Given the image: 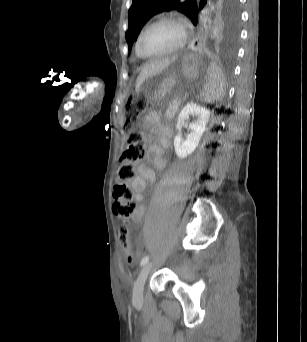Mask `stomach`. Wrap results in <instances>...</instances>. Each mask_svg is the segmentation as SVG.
<instances>
[{"mask_svg":"<svg viewBox=\"0 0 307 342\" xmlns=\"http://www.w3.org/2000/svg\"><path fill=\"white\" fill-rule=\"evenodd\" d=\"M191 56L178 57L160 73L145 80L140 90L150 101L178 100L181 98L185 80L192 76Z\"/></svg>","mask_w":307,"mask_h":342,"instance_id":"0dacf381","label":"stomach"}]
</instances>
